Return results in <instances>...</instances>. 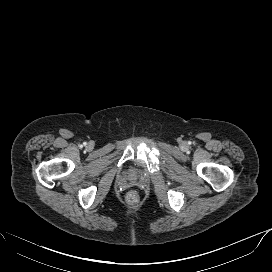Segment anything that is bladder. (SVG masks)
<instances>
[{
	"label": "bladder",
	"mask_w": 272,
	"mask_h": 272,
	"mask_svg": "<svg viewBox=\"0 0 272 272\" xmlns=\"http://www.w3.org/2000/svg\"><path fill=\"white\" fill-rule=\"evenodd\" d=\"M136 175H137L136 170H130V171H129V176H130V177H135Z\"/></svg>",
	"instance_id": "31cf9c89"
}]
</instances>
